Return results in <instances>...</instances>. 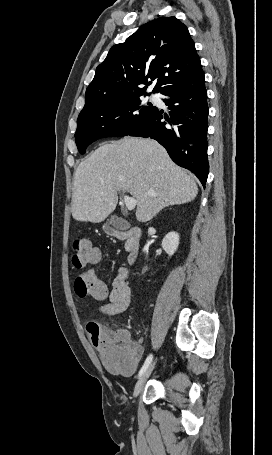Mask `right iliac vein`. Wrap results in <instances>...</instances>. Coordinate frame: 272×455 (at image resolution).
Wrapping results in <instances>:
<instances>
[{
  "label": "right iliac vein",
  "mask_w": 272,
  "mask_h": 455,
  "mask_svg": "<svg viewBox=\"0 0 272 455\" xmlns=\"http://www.w3.org/2000/svg\"><path fill=\"white\" fill-rule=\"evenodd\" d=\"M155 364H156V360L147 368V370L141 375V377L137 381L135 388H134V393H133L134 397H137L139 395V393L141 392L145 382L147 381L151 372L153 371Z\"/></svg>",
  "instance_id": "1"
}]
</instances>
